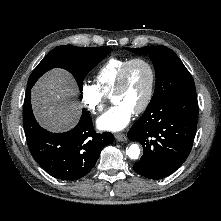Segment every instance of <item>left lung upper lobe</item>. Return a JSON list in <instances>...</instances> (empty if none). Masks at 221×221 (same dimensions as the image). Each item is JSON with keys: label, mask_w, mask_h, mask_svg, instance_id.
Here are the masks:
<instances>
[{"label": "left lung upper lobe", "mask_w": 221, "mask_h": 221, "mask_svg": "<svg viewBox=\"0 0 221 221\" xmlns=\"http://www.w3.org/2000/svg\"><path fill=\"white\" fill-rule=\"evenodd\" d=\"M127 49L134 53L148 54L154 63L156 86L148 106L181 93L196 91L191 74L171 49L165 46Z\"/></svg>", "instance_id": "1"}]
</instances>
